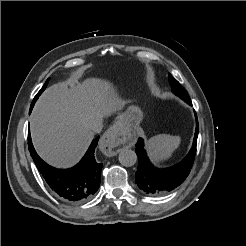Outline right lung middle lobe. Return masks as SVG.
<instances>
[{"label":"right lung middle lobe","instance_id":"right-lung-middle-lobe-1","mask_svg":"<svg viewBox=\"0 0 246 246\" xmlns=\"http://www.w3.org/2000/svg\"><path fill=\"white\" fill-rule=\"evenodd\" d=\"M49 79H47V81L45 82V84L43 85V87L41 88V90L38 92V94L35 96L34 100H33V104H35L36 100L38 99L39 95H41V93L45 90L47 84H48Z\"/></svg>","mask_w":246,"mask_h":246}]
</instances>
